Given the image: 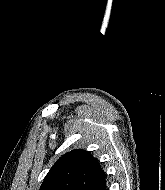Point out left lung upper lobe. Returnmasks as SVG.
Returning <instances> with one entry per match:
<instances>
[{
    "instance_id": "1",
    "label": "left lung upper lobe",
    "mask_w": 165,
    "mask_h": 190,
    "mask_svg": "<svg viewBox=\"0 0 165 190\" xmlns=\"http://www.w3.org/2000/svg\"><path fill=\"white\" fill-rule=\"evenodd\" d=\"M105 178L98 160L89 152L77 149L56 161L40 190H103Z\"/></svg>"
}]
</instances>
